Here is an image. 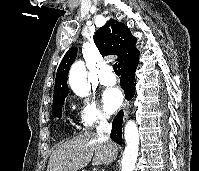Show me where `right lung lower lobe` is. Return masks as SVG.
<instances>
[{
  "label": "right lung lower lobe",
  "mask_w": 199,
  "mask_h": 171,
  "mask_svg": "<svg viewBox=\"0 0 199 171\" xmlns=\"http://www.w3.org/2000/svg\"><path fill=\"white\" fill-rule=\"evenodd\" d=\"M138 65V58L123 64L119 67V72L121 74L120 85L125 92L126 99H131L135 94V71ZM122 119L123 111L121 110L113 120L111 139L122 145Z\"/></svg>",
  "instance_id": "1"
}]
</instances>
